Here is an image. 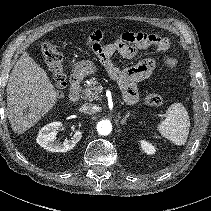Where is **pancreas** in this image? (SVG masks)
Listing matches in <instances>:
<instances>
[{"label": "pancreas", "mask_w": 211, "mask_h": 211, "mask_svg": "<svg viewBox=\"0 0 211 211\" xmlns=\"http://www.w3.org/2000/svg\"><path fill=\"white\" fill-rule=\"evenodd\" d=\"M88 85L83 89V97L89 101L100 100L103 87L99 85L97 78L92 77L87 81Z\"/></svg>", "instance_id": "cf45deb5"}]
</instances>
